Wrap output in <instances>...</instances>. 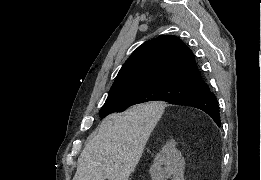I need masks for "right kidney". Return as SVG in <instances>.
Here are the masks:
<instances>
[{
  "mask_svg": "<svg viewBox=\"0 0 261 180\" xmlns=\"http://www.w3.org/2000/svg\"><path fill=\"white\" fill-rule=\"evenodd\" d=\"M165 166V168H162ZM185 160L176 150L175 140H170L163 146L161 152L157 154L154 164L150 170L153 178L156 180H165L170 176H175L176 180H184Z\"/></svg>",
  "mask_w": 261,
  "mask_h": 180,
  "instance_id": "right-kidney-1",
  "label": "right kidney"
}]
</instances>
